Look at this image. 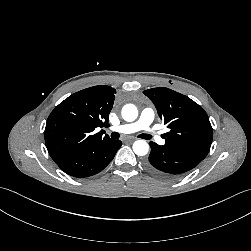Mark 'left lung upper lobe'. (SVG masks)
Instances as JSON below:
<instances>
[{
  "mask_svg": "<svg viewBox=\"0 0 251 251\" xmlns=\"http://www.w3.org/2000/svg\"><path fill=\"white\" fill-rule=\"evenodd\" d=\"M155 105L170 132L165 146L180 149L204 159L208 154L213 130L204 109L189 97L165 87L143 92Z\"/></svg>",
  "mask_w": 251,
  "mask_h": 251,
  "instance_id": "1",
  "label": "left lung upper lobe"
}]
</instances>
